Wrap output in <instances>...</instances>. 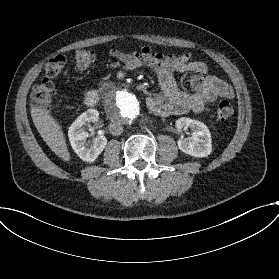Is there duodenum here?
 <instances>
[{
    "label": "duodenum",
    "mask_w": 279,
    "mask_h": 279,
    "mask_svg": "<svg viewBox=\"0 0 279 279\" xmlns=\"http://www.w3.org/2000/svg\"><path fill=\"white\" fill-rule=\"evenodd\" d=\"M116 84L111 81L104 82L99 89H91L87 91L84 98V103L87 107L92 108L96 106L100 99V95H107L113 92Z\"/></svg>",
    "instance_id": "obj_1"
}]
</instances>
